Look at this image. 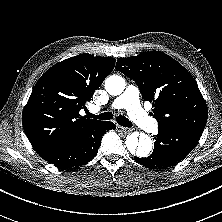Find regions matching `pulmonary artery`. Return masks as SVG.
<instances>
[{
    "label": "pulmonary artery",
    "instance_id": "e3ab8cb5",
    "mask_svg": "<svg viewBox=\"0 0 222 222\" xmlns=\"http://www.w3.org/2000/svg\"><path fill=\"white\" fill-rule=\"evenodd\" d=\"M113 108L126 109L130 119L141 129L145 131H155L157 122L149 116L139 103V90L134 85H129L125 91L114 101ZM93 112L100 110V107L94 106L91 109Z\"/></svg>",
    "mask_w": 222,
    "mask_h": 222
}]
</instances>
